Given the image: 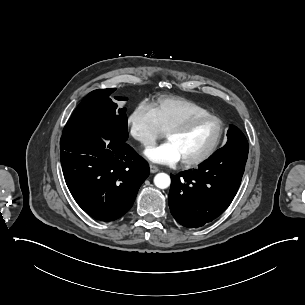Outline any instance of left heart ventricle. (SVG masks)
Here are the masks:
<instances>
[{
  "label": "left heart ventricle",
  "mask_w": 305,
  "mask_h": 305,
  "mask_svg": "<svg viewBox=\"0 0 305 305\" xmlns=\"http://www.w3.org/2000/svg\"><path fill=\"white\" fill-rule=\"evenodd\" d=\"M221 125L217 119L196 123L180 132L167 135L181 155V160H191L205 153L217 140Z\"/></svg>",
  "instance_id": "left-heart-ventricle-1"
}]
</instances>
